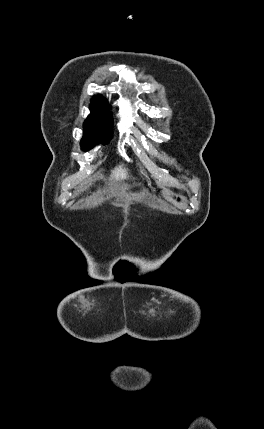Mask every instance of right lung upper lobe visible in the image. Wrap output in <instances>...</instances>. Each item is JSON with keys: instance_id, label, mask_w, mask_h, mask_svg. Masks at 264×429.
I'll list each match as a JSON object with an SVG mask.
<instances>
[{"instance_id": "cb5924a9", "label": "right lung upper lobe", "mask_w": 264, "mask_h": 429, "mask_svg": "<svg viewBox=\"0 0 264 429\" xmlns=\"http://www.w3.org/2000/svg\"><path fill=\"white\" fill-rule=\"evenodd\" d=\"M91 102H92L90 104L91 107H107L108 106L107 101L101 96H94L91 99Z\"/></svg>"}]
</instances>
